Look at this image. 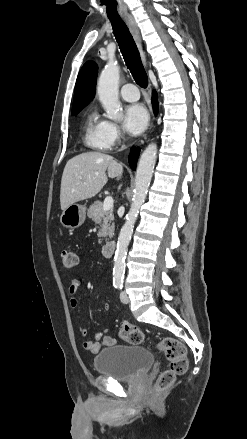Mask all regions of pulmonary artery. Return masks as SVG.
<instances>
[{
  "mask_svg": "<svg viewBox=\"0 0 247 439\" xmlns=\"http://www.w3.org/2000/svg\"><path fill=\"white\" fill-rule=\"evenodd\" d=\"M120 94L124 100L129 102H134L139 99L138 89L131 83L123 85Z\"/></svg>",
  "mask_w": 247,
  "mask_h": 439,
  "instance_id": "obj_1",
  "label": "pulmonary artery"
}]
</instances>
